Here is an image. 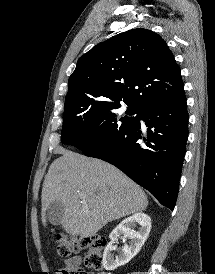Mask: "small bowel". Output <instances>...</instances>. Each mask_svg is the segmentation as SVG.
I'll return each instance as SVG.
<instances>
[{
	"label": "small bowel",
	"mask_w": 215,
	"mask_h": 274,
	"mask_svg": "<svg viewBox=\"0 0 215 274\" xmlns=\"http://www.w3.org/2000/svg\"><path fill=\"white\" fill-rule=\"evenodd\" d=\"M82 258L80 256H73L68 258L64 262V267L56 270V274H76L81 268ZM99 274H108L106 272H101Z\"/></svg>",
	"instance_id": "1"
}]
</instances>
